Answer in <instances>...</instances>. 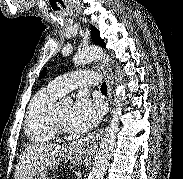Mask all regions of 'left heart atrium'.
I'll return each instance as SVG.
<instances>
[{
	"label": "left heart atrium",
	"instance_id": "39dd6f15",
	"mask_svg": "<svg viewBox=\"0 0 183 179\" xmlns=\"http://www.w3.org/2000/svg\"><path fill=\"white\" fill-rule=\"evenodd\" d=\"M102 112L100 103L86 95H80L72 107L69 127L76 132H86L98 124Z\"/></svg>",
	"mask_w": 183,
	"mask_h": 179
}]
</instances>
